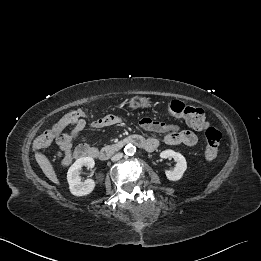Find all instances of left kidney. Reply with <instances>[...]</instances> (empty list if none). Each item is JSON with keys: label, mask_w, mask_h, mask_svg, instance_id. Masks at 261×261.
I'll use <instances>...</instances> for the list:
<instances>
[{"label": "left kidney", "mask_w": 261, "mask_h": 261, "mask_svg": "<svg viewBox=\"0 0 261 261\" xmlns=\"http://www.w3.org/2000/svg\"><path fill=\"white\" fill-rule=\"evenodd\" d=\"M161 158H173L176 161V165L173 170H166L165 174L168 180L178 181L182 178L184 172L187 169V162L185 157L173 150H165L160 154Z\"/></svg>", "instance_id": "obj_1"}]
</instances>
